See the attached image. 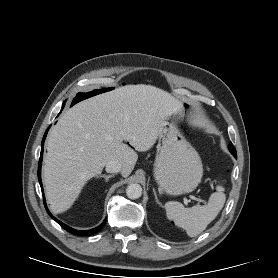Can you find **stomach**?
Wrapping results in <instances>:
<instances>
[{"mask_svg":"<svg viewBox=\"0 0 278 278\" xmlns=\"http://www.w3.org/2000/svg\"><path fill=\"white\" fill-rule=\"evenodd\" d=\"M202 176L203 166L197 151L174 122L165 121L154 164V178L161 190L174 196L192 192Z\"/></svg>","mask_w":278,"mask_h":278,"instance_id":"1","label":"stomach"}]
</instances>
